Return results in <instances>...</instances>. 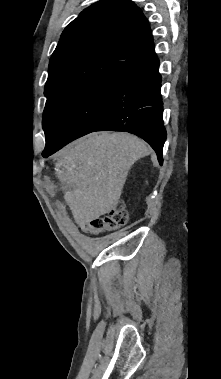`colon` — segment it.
<instances>
[{"mask_svg": "<svg viewBox=\"0 0 221 379\" xmlns=\"http://www.w3.org/2000/svg\"><path fill=\"white\" fill-rule=\"evenodd\" d=\"M127 211L122 203L117 204L107 215L95 218L85 223L82 228L90 234H99L104 231L115 230L126 224Z\"/></svg>", "mask_w": 221, "mask_h": 379, "instance_id": "5ec220e1", "label": "colon"}]
</instances>
